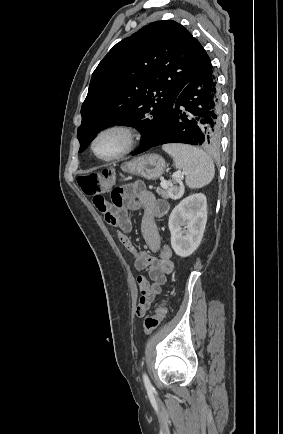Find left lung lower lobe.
I'll return each instance as SVG.
<instances>
[{
  "instance_id": "obj_1",
  "label": "left lung lower lobe",
  "mask_w": 283,
  "mask_h": 434,
  "mask_svg": "<svg viewBox=\"0 0 283 434\" xmlns=\"http://www.w3.org/2000/svg\"><path fill=\"white\" fill-rule=\"evenodd\" d=\"M220 130V93L211 66L183 88L154 142L134 155L166 143H185L217 151Z\"/></svg>"
}]
</instances>
